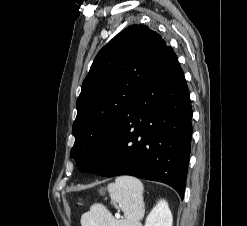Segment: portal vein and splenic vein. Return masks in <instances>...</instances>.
Segmentation results:
<instances>
[{
	"label": "portal vein and splenic vein",
	"mask_w": 247,
	"mask_h": 226,
	"mask_svg": "<svg viewBox=\"0 0 247 226\" xmlns=\"http://www.w3.org/2000/svg\"><path fill=\"white\" fill-rule=\"evenodd\" d=\"M115 217L118 219V218L121 217V215L118 213V214L115 215Z\"/></svg>",
	"instance_id": "18ae733b"
}]
</instances>
